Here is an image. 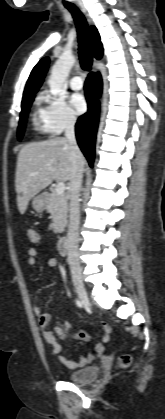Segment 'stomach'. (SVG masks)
Here are the masks:
<instances>
[{
	"mask_svg": "<svg viewBox=\"0 0 165 419\" xmlns=\"http://www.w3.org/2000/svg\"><path fill=\"white\" fill-rule=\"evenodd\" d=\"M46 204L45 195H38L32 199V207L37 212H42L46 208Z\"/></svg>",
	"mask_w": 165,
	"mask_h": 419,
	"instance_id": "stomach-1",
	"label": "stomach"
}]
</instances>
